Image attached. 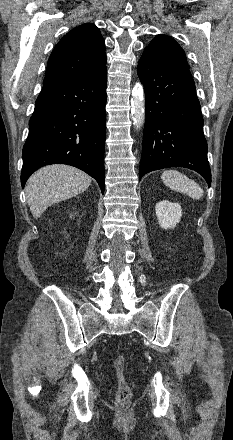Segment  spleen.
<instances>
[{
	"mask_svg": "<svg viewBox=\"0 0 233 440\" xmlns=\"http://www.w3.org/2000/svg\"><path fill=\"white\" fill-rule=\"evenodd\" d=\"M161 178L170 189L185 193L193 199H200L204 194L198 183L177 170H166L162 173Z\"/></svg>",
	"mask_w": 233,
	"mask_h": 440,
	"instance_id": "3e777b00",
	"label": "spleen"
}]
</instances>
